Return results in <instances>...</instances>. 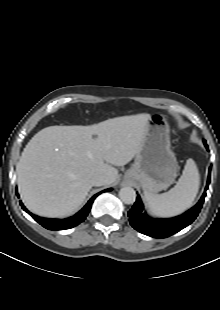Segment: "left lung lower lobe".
Instances as JSON below:
<instances>
[{"mask_svg":"<svg viewBox=\"0 0 220 310\" xmlns=\"http://www.w3.org/2000/svg\"><path fill=\"white\" fill-rule=\"evenodd\" d=\"M208 149L207 144H204ZM211 180V169L208 171V181L204 193L199 202L184 214L169 218V219H153L150 218L146 212L140 197L138 196L133 207L128 212L130 217L129 221L131 226L142 234L153 238H166L190 225L198 216L204 198L206 196V190L208 189Z\"/></svg>","mask_w":220,"mask_h":310,"instance_id":"left-lung-lower-lobe-1","label":"left lung lower lobe"}]
</instances>
